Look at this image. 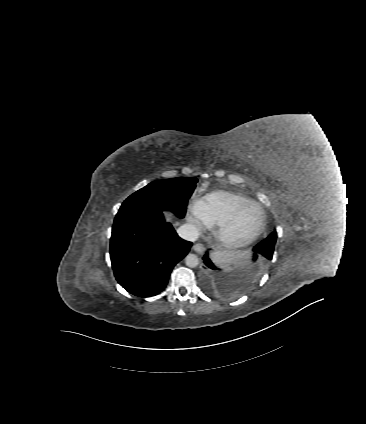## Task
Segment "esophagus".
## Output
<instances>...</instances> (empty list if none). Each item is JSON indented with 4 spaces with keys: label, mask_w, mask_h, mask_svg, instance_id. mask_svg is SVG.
<instances>
[{
    "label": "esophagus",
    "mask_w": 366,
    "mask_h": 424,
    "mask_svg": "<svg viewBox=\"0 0 366 424\" xmlns=\"http://www.w3.org/2000/svg\"><path fill=\"white\" fill-rule=\"evenodd\" d=\"M193 250H194L195 252H197V253H203V252H204V250H205V247H204V245H203V244H201V243H197V244H195V245L193 246Z\"/></svg>",
    "instance_id": "1"
}]
</instances>
